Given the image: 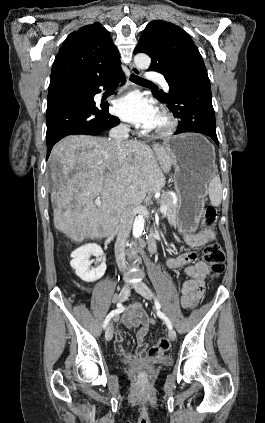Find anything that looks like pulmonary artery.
Listing matches in <instances>:
<instances>
[{
    "label": "pulmonary artery",
    "mask_w": 265,
    "mask_h": 423,
    "mask_svg": "<svg viewBox=\"0 0 265 423\" xmlns=\"http://www.w3.org/2000/svg\"><path fill=\"white\" fill-rule=\"evenodd\" d=\"M147 78L149 79V80H155V79H158L159 80V82L161 83V85H162V87L166 90V91H168L169 90V86H168V84H167V82L165 81V79L159 74V73H156V72H154V71H149L148 72V74H147Z\"/></svg>",
    "instance_id": "e3ab8cb5"
}]
</instances>
